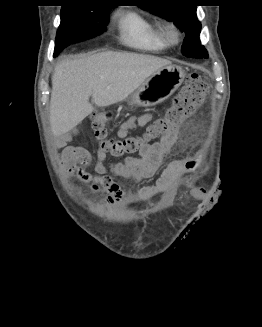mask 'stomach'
I'll use <instances>...</instances> for the list:
<instances>
[{"instance_id": "obj_1", "label": "stomach", "mask_w": 262, "mask_h": 327, "mask_svg": "<svg viewBox=\"0 0 262 327\" xmlns=\"http://www.w3.org/2000/svg\"><path fill=\"white\" fill-rule=\"evenodd\" d=\"M184 70L177 65H166L154 72L130 97L131 105L151 107L168 99L182 84Z\"/></svg>"}]
</instances>
